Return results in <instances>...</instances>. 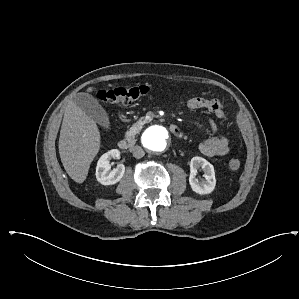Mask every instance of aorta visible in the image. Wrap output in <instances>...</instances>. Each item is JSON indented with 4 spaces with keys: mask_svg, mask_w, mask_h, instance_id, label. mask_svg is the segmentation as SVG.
<instances>
[{
    "mask_svg": "<svg viewBox=\"0 0 299 299\" xmlns=\"http://www.w3.org/2000/svg\"><path fill=\"white\" fill-rule=\"evenodd\" d=\"M142 143L151 152H163L170 143V135L164 127L152 126L143 134Z\"/></svg>",
    "mask_w": 299,
    "mask_h": 299,
    "instance_id": "aorta-1",
    "label": "aorta"
}]
</instances>
